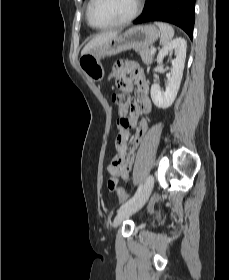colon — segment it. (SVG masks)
Here are the masks:
<instances>
[{
    "label": "colon",
    "instance_id": "5ec220e1",
    "mask_svg": "<svg viewBox=\"0 0 229 280\" xmlns=\"http://www.w3.org/2000/svg\"><path fill=\"white\" fill-rule=\"evenodd\" d=\"M119 101L126 105L129 103V98L125 95H119ZM117 125L120 128L121 131L126 130L129 125H130V120L126 115L119 114L118 119H117ZM110 170H127V165L124 163L123 156L120 154L114 155L112 158L111 164L109 166ZM108 188L110 190H115L117 189V194L121 202L126 201L127 199V194L122 188H117L116 183L112 180L108 181Z\"/></svg>",
    "mask_w": 229,
    "mask_h": 280
}]
</instances>
